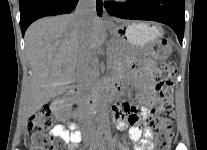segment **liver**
Instances as JSON below:
<instances>
[{"label":"liver","mask_w":207,"mask_h":150,"mask_svg":"<svg viewBox=\"0 0 207 150\" xmlns=\"http://www.w3.org/2000/svg\"><path fill=\"white\" fill-rule=\"evenodd\" d=\"M116 22H123L116 19ZM106 40V29L96 17L88 30L78 23L75 14L46 17L34 22L25 34V50L31 68L28 85L23 89L21 109L26 119L43 105L62 95L77 75L83 46L92 53Z\"/></svg>","instance_id":"1"}]
</instances>
